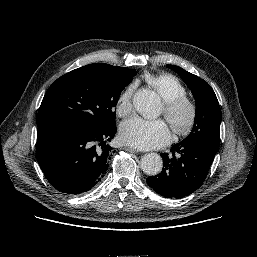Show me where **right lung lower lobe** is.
I'll list each match as a JSON object with an SVG mask.
<instances>
[{"label": "right lung lower lobe", "mask_w": 257, "mask_h": 257, "mask_svg": "<svg viewBox=\"0 0 257 257\" xmlns=\"http://www.w3.org/2000/svg\"><path fill=\"white\" fill-rule=\"evenodd\" d=\"M116 125L94 128L74 120H54L38 126L37 161L50 184L67 194L90 190L106 174Z\"/></svg>", "instance_id": "1"}]
</instances>
